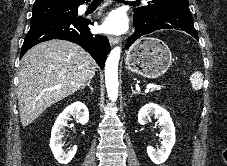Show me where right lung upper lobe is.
I'll return each instance as SVG.
<instances>
[{"mask_svg": "<svg viewBox=\"0 0 227 166\" xmlns=\"http://www.w3.org/2000/svg\"><path fill=\"white\" fill-rule=\"evenodd\" d=\"M84 1L89 0H36L34 5H43V4H68V5H80Z\"/></svg>", "mask_w": 227, "mask_h": 166, "instance_id": "1", "label": "right lung upper lobe"}]
</instances>
